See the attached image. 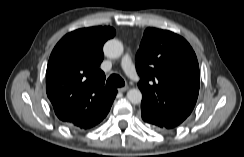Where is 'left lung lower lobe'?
I'll return each instance as SVG.
<instances>
[{"instance_id":"1","label":"left lung lower lobe","mask_w":244,"mask_h":157,"mask_svg":"<svg viewBox=\"0 0 244 157\" xmlns=\"http://www.w3.org/2000/svg\"><path fill=\"white\" fill-rule=\"evenodd\" d=\"M141 115L144 122L149 124L151 127L157 130H170L171 128L167 127L164 123H162L156 115L151 111L149 107L144 104H141Z\"/></svg>"}]
</instances>
